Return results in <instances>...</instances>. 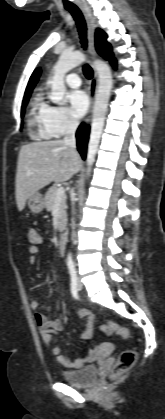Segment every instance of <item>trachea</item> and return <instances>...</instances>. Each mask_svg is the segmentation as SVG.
Wrapping results in <instances>:
<instances>
[{"mask_svg": "<svg viewBox=\"0 0 165 419\" xmlns=\"http://www.w3.org/2000/svg\"><path fill=\"white\" fill-rule=\"evenodd\" d=\"M65 9L68 10L72 14L74 20L76 21L78 32H79L80 39H81L82 47L86 48L87 47V38H86L87 28H86V23H85L84 17L82 15L80 9L77 6H74V5L73 6H66ZM83 72H84V75L87 79H91L93 77V70L88 64H86L83 67Z\"/></svg>", "mask_w": 165, "mask_h": 419, "instance_id": "obj_1", "label": "trachea"}]
</instances>
